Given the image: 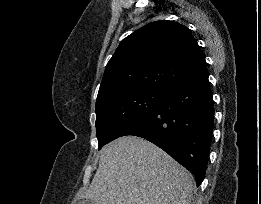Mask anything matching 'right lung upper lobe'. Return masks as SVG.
<instances>
[{
	"instance_id": "obj_1",
	"label": "right lung upper lobe",
	"mask_w": 261,
	"mask_h": 204,
	"mask_svg": "<svg viewBox=\"0 0 261 204\" xmlns=\"http://www.w3.org/2000/svg\"><path fill=\"white\" fill-rule=\"evenodd\" d=\"M204 63L186 26L168 20L149 23L121 41L106 65L97 101L120 90L165 92Z\"/></svg>"
}]
</instances>
